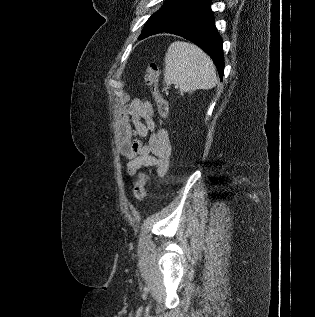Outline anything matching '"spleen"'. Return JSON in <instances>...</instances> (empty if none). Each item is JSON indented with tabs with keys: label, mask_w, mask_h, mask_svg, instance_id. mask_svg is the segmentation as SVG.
<instances>
[{
	"label": "spleen",
	"mask_w": 315,
	"mask_h": 317,
	"mask_svg": "<svg viewBox=\"0 0 315 317\" xmlns=\"http://www.w3.org/2000/svg\"><path fill=\"white\" fill-rule=\"evenodd\" d=\"M164 82L174 84L180 94L211 89L216 85V69L210 57L194 44L176 41L165 55Z\"/></svg>",
	"instance_id": "1"
}]
</instances>
